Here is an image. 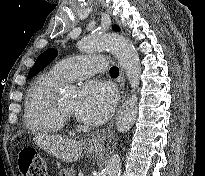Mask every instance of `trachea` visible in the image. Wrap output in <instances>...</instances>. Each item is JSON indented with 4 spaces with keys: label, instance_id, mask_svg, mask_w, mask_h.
Listing matches in <instances>:
<instances>
[{
    "label": "trachea",
    "instance_id": "1",
    "mask_svg": "<svg viewBox=\"0 0 205 176\" xmlns=\"http://www.w3.org/2000/svg\"><path fill=\"white\" fill-rule=\"evenodd\" d=\"M110 73H111V75H118L119 74V69L116 66H112L110 68Z\"/></svg>",
    "mask_w": 205,
    "mask_h": 176
}]
</instances>
